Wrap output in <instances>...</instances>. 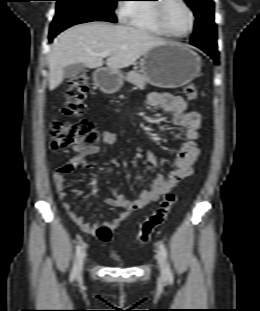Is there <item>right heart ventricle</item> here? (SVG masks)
Returning a JSON list of instances; mask_svg holds the SVG:
<instances>
[{"instance_id": "1", "label": "right heart ventricle", "mask_w": 260, "mask_h": 311, "mask_svg": "<svg viewBox=\"0 0 260 311\" xmlns=\"http://www.w3.org/2000/svg\"><path fill=\"white\" fill-rule=\"evenodd\" d=\"M134 2H147L151 0H133ZM125 22L142 31L149 32L154 35H165L154 19L153 4L149 3H130L126 4L123 12Z\"/></svg>"}]
</instances>
